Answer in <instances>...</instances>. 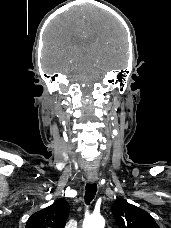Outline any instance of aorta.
<instances>
[{
  "instance_id": "762f6f07",
  "label": "aorta",
  "mask_w": 171,
  "mask_h": 228,
  "mask_svg": "<svg viewBox=\"0 0 171 228\" xmlns=\"http://www.w3.org/2000/svg\"><path fill=\"white\" fill-rule=\"evenodd\" d=\"M105 220L100 215H91L83 222V228H104Z\"/></svg>"
}]
</instances>
